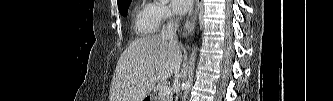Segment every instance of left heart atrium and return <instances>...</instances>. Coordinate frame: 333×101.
I'll use <instances>...</instances> for the list:
<instances>
[{"label": "left heart atrium", "mask_w": 333, "mask_h": 101, "mask_svg": "<svg viewBox=\"0 0 333 101\" xmlns=\"http://www.w3.org/2000/svg\"><path fill=\"white\" fill-rule=\"evenodd\" d=\"M189 0H172L171 4L176 12L183 14L185 13L190 7Z\"/></svg>", "instance_id": "39dd6f15"}]
</instances>
